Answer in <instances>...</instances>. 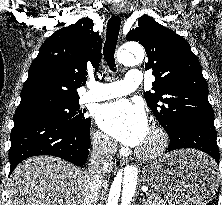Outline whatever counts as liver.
Masks as SVG:
<instances>
[{
  "instance_id": "1",
  "label": "liver",
  "mask_w": 222,
  "mask_h": 205,
  "mask_svg": "<svg viewBox=\"0 0 222 205\" xmlns=\"http://www.w3.org/2000/svg\"><path fill=\"white\" fill-rule=\"evenodd\" d=\"M88 172L53 156L20 163L8 181L7 205H81Z\"/></svg>"
}]
</instances>
